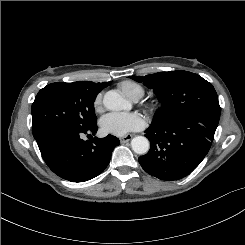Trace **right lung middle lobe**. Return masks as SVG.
<instances>
[{
  "instance_id": "dd1d6c3e",
  "label": "right lung middle lobe",
  "mask_w": 245,
  "mask_h": 245,
  "mask_svg": "<svg viewBox=\"0 0 245 245\" xmlns=\"http://www.w3.org/2000/svg\"><path fill=\"white\" fill-rule=\"evenodd\" d=\"M99 92L78 82L51 83L41 89L32 104L34 138L52 127L83 131L94 126L93 103Z\"/></svg>"
}]
</instances>
